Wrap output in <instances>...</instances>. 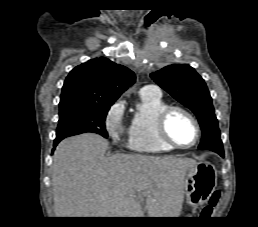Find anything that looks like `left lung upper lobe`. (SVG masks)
I'll return each mask as SVG.
<instances>
[{"instance_id":"5c2ea615","label":"left lung upper lobe","mask_w":258,"mask_h":227,"mask_svg":"<svg viewBox=\"0 0 258 227\" xmlns=\"http://www.w3.org/2000/svg\"><path fill=\"white\" fill-rule=\"evenodd\" d=\"M151 78L197 116L202 129L198 148L223 153L212 99L202 77L189 65H170L152 73Z\"/></svg>"}]
</instances>
